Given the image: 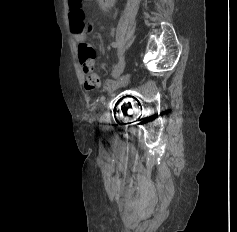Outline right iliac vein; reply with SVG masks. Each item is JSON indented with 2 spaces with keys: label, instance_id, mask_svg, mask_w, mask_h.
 <instances>
[{
  "label": "right iliac vein",
  "instance_id": "right-iliac-vein-1",
  "mask_svg": "<svg viewBox=\"0 0 237 232\" xmlns=\"http://www.w3.org/2000/svg\"><path fill=\"white\" fill-rule=\"evenodd\" d=\"M125 68V60L121 59L113 71V78H118Z\"/></svg>",
  "mask_w": 237,
  "mask_h": 232
}]
</instances>
